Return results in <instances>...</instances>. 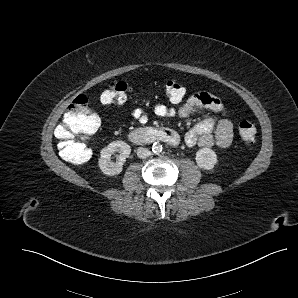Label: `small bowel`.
Wrapping results in <instances>:
<instances>
[{
    "label": "small bowel",
    "mask_w": 298,
    "mask_h": 298,
    "mask_svg": "<svg viewBox=\"0 0 298 298\" xmlns=\"http://www.w3.org/2000/svg\"><path fill=\"white\" fill-rule=\"evenodd\" d=\"M203 110L212 111L221 117L218 120L213 117H206L189 129L184 136L187 146L199 145L207 148L213 146L227 148L230 146L233 139V125L227 118L225 106L214 95L207 92H197L178 107H169L164 104H156L153 107L154 114L159 117L188 118ZM131 116L140 124H146L149 121L148 114L142 108L134 109Z\"/></svg>",
    "instance_id": "obj_1"
}]
</instances>
